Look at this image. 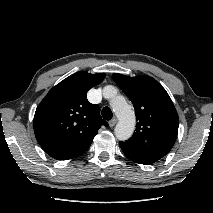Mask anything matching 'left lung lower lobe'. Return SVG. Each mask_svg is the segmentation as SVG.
Masks as SVG:
<instances>
[{
	"mask_svg": "<svg viewBox=\"0 0 213 213\" xmlns=\"http://www.w3.org/2000/svg\"><path fill=\"white\" fill-rule=\"evenodd\" d=\"M120 147H121L122 151L124 152V154L130 160H132V161H134L136 163L149 165V164H152V163H154V162L159 160V158L141 154V153L133 150L132 148L122 144L121 142H120Z\"/></svg>",
	"mask_w": 213,
	"mask_h": 213,
	"instance_id": "0a47b994",
	"label": "left lung lower lobe"
}]
</instances>
